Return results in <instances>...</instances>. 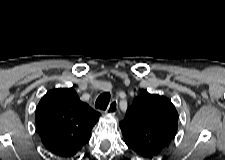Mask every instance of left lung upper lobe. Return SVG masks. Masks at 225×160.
Returning a JSON list of instances; mask_svg holds the SVG:
<instances>
[{
    "label": "left lung upper lobe",
    "instance_id": "left-lung-upper-lobe-1",
    "mask_svg": "<svg viewBox=\"0 0 225 160\" xmlns=\"http://www.w3.org/2000/svg\"><path fill=\"white\" fill-rule=\"evenodd\" d=\"M177 124L178 113L168 98L143 91L119 125L126 145L137 155L151 158L171 142Z\"/></svg>",
    "mask_w": 225,
    "mask_h": 160
}]
</instances>
